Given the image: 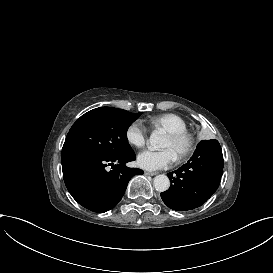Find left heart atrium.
Returning a JSON list of instances; mask_svg holds the SVG:
<instances>
[{
    "label": "left heart atrium",
    "instance_id": "obj_1",
    "mask_svg": "<svg viewBox=\"0 0 273 273\" xmlns=\"http://www.w3.org/2000/svg\"><path fill=\"white\" fill-rule=\"evenodd\" d=\"M176 159L175 154L170 148L159 150L144 149L137 157V165L145 170H158L171 165Z\"/></svg>",
    "mask_w": 273,
    "mask_h": 273
}]
</instances>
